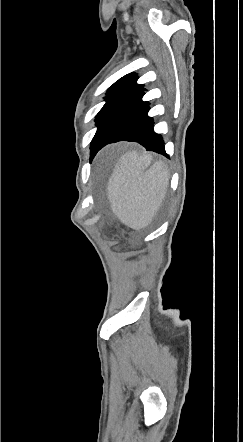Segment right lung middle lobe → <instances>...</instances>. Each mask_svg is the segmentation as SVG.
<instances>
[{
    "label": "right lung middle lobe",
    "mask_w": 243,
    "mask_h": 442,
    "mask_svg": "<svg viewBox=\"0 0 243 442\" xmlns=\"http://www.w3.org/2000/svg\"><path fill=\"white\" fill-rule=\"evenodd\" d=\"M124 98L121 97H105L106 104L99 111L96 116V123L99 126L104 119L109 115V113L113 110V108Z\"/></svg>",
    "instance_id": "right-lung-middle-lobe-1"
}]
</instances>
